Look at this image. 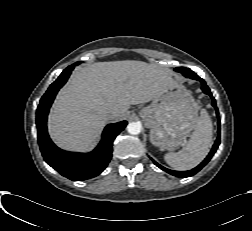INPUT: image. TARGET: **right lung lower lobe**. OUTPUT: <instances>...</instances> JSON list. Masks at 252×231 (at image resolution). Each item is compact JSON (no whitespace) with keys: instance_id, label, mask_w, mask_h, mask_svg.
Returning a JSON list of instances; mask_svg holds the SVG:
<instances>
[{"instance_id":"obj_1","label":"right lung lower lobe","mask_w":252,"mask_h":231,"mask_svg":"<svg viewBox=\"0 0 252 231\" xmlns=\"http://www.w3.org/2000/svg\"><path fill=\"white\" fill-rule=\"evenodd\" d=\"M79 63L68 66L50 85L40 100L36 116L38 142L44 160L60 174L73 181L93 178L106 168L112 157L113 140L127 125L126 121L107 125L99 145L90 153L67 152L54 145L47 133L48 112L58 90L66 83L72 70Z\"/></svg>"}]
</instances>
